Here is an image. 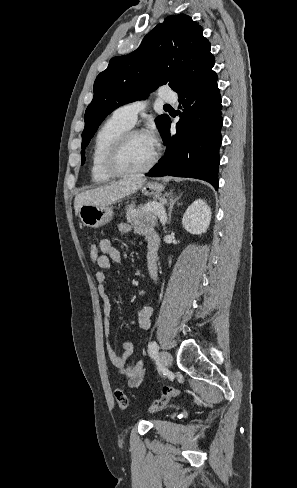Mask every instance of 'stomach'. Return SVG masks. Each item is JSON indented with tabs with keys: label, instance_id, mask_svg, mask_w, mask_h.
<instances>
[{
	"label": "stomach",
	"instance_id": "1",
	"mask_svg": "<svg viewBox=\"0 0 297 488\" xmlns=\"http://www.w3.org/2000/svg\"><path fill=\"white\" fill-rule=\"evenodd\" d=\"M164 186L159 182H149L142 188L146 196H161ZM113 208L108 205L84 204L79 209V218L82 223L90 228H99L113 218Z\"/></svg>",
	"mask_w": 297,
	"mask_h": 488
}]
</instances>
